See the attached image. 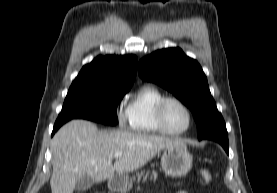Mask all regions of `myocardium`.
I'll return each mask as SVG.
<instances>
[{
    "instance_id": "obj_1",
    "label": "myocardium",
    "mask_w": 277,
    "mask_h": 193,
    "mask_svg": "<svg viewBox=\"0 0 277 193\" xmlns=\"http://www.w3.org/2000/svg\"><path fill=\"white\" fill-rule=\"evenodd\" d=\"M169 102H176L185 109V111L188 115V125L185 129L180 130V131H173V130L169 129L168 126L166 125L164 111H165L166 105ZM156 121H157V125H158L159 129L162 131V133L167 134V135L178 136V135H183L190 130V128L193 125L194 118H193V114H192L190 107L183 100H181L178 97L169 96V97H164L158 103L157 108H156Z\"/></svg>"
}]
</instances>
